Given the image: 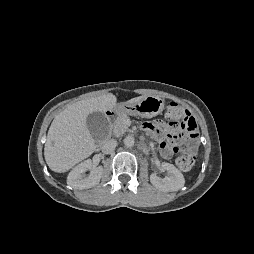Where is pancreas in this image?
Here are the masks:
<instances>
[{
  "label": "pancreas",
  "mask_w": 254,
  "mask_h": 254,
  "mask_svg": "<svg viewBox=\"0 0 254 254\" xmlns=\"http://www.w3.org/2000/svg\"><path fill=\"white\" fill-rule=\"evenodd\" d=\"M129 117L126 114H121L112 125V134L116 137L123 135L126 131H128V126L126 121Z\"/></svg>",
  "instance_id": "cf45deb5"
}]
</instances>
